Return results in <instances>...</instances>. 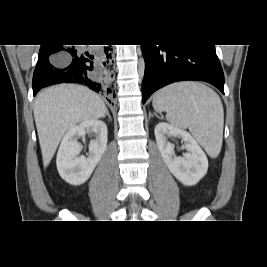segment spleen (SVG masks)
<instances>
[{
    "mask_svg": "<svg viewBox=\"0 0 267 267\" xmlns=\"http://www.w3.org/2000/svg\"><path fill=\"white\" fill-rule=\"evenodd\" d=\"M175 127L188 128L207 154L216 158L223 141L224 112L220 97L200 82L184 81L159 90L152 103Z\"/></svg>",
    "mask_w": 267,
    "mask_h": 267,
    "instance_id": "obj_1",
    "label": "spleen"
}]
</instances>
